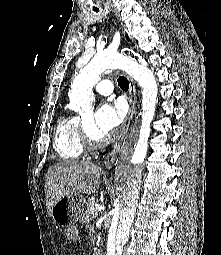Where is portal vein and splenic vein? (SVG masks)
<instances>
[{"label":"portal vein and splenic vein","mask_w":221,"mask_h":255,"mask_svg":"<svg viewBox=\"0 0 221 255\" xmlns=\"http://www.w3.org/2000/svg\"><path fill=\"white\" fill-rule=\"evenodd\" d=\"M92 216H94V217L97 216V210L96 209L92 211Z\"/></svg>","instance_id":"18ae733b"}]
</instances>
